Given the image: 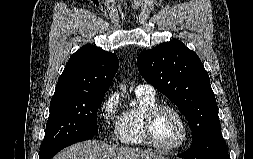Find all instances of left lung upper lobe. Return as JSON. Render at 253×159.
<instances>
[{"label": "left lung upper lobe", "instance_id": "obj_1", "mask_svg": "<svg viewBox=\"0 0 253 159\" xmlns=\"http://www.w3.org/2000/svg\"><path fill=\"white\" fill-rule=\"evenodd\" d=\"M137 64L141 76L188 119L193 134L190 148L200 157L209 154L223 137L210 78L197 54L171 40L142 52Z\"/></svg>", "mask_w": 253, "mask_h": 159}]
</instances>
